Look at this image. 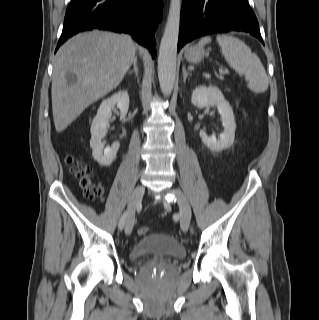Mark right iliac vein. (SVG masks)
Masks as SVG:
<instances>
[{
    "label": "right iliac vein",
    "mask_w": 319,
    "mask_h": 320,
    "mask_svg": "<svg viewBox=\"0 0 319 320\" xmlns=\"http://www.w3.org/2000/svg\"><path fill=\"white\" fill-rule=\"evenodd\" d=\"M144 192H145L144 186L139 185L134 189V191L131 195V198L129 201V212H128V215L126 218V224H125L126 235H130L133 230L134 222H135L134 212H135L136 207L140 204V202L143 198Z\"/></svg>",
    "instance_id": "obj_1"
}]
</instances>
